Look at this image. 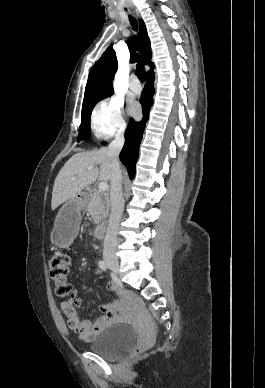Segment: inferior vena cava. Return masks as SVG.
<instances>
[{
  "label": "inferior vena cava",
  "mask_w": 265,
  "mask_h": 388,
  "mask_svg": "<svg viewBox=\"0 0 265 388\" xmlns=\"http://www.w3.org/2000/svg\"><path fill=\"white\" fill-rule=\"evenodd\" d=\"M125 138L118 134L115 140L108 146L107 156L111 162V212L108 220L107 232L103 246V258L115 256L117 242V232L119 222L124 210V200L122 198V172L119 164V154L124 146Z\"/></svg>",
  "instance_id": "1"
}]
</instances>
